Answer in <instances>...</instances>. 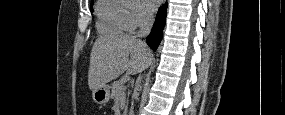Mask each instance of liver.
<instances>
[{
    "label": "liver",
    "instance_id": "liver-1",
    "mask_svg": "<svg viewBox=\"0 0 285 115\" xmlns=\"http://www.w3.org/2000/svg\"><path fill=\"white\" fill-rule=\"evenodd\" d=\"M150 62V49L134 36L100 37L95 41L90 55L88 86L94 91L125 71L130 75L140 73Z\"/></svg>",
    "mask_w": 285,
    "mask_h": 115
}]
</instances>
